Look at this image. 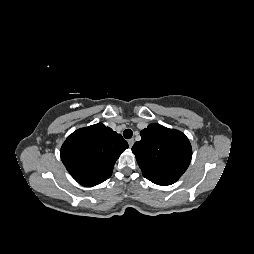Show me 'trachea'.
<instances>
[{"instance_id": "trachea-1", "label": "trachea", "mask_w": 254, "mask_h": 254, "mask_svg": "<svg viewBox=\"0 0 254 254\" xmlns=\"http://www.w3.org/2000/svg\"><path fill=\"white\" fill-rule=\"evenodd\" d=\"M133 135V132L131 129H126L124 132H123V136L124 138L126 139H130Z\"/></svg>"}]
</instances>
